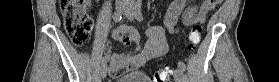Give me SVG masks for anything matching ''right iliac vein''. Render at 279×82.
<instances>
[{
  "mask_svg": "<svg viewBox=\"0 0 279 82\" xmlns=\"http://www.w3.org/2000/svg\"><path fill=\"white\" fill-rule=\"evenodd\" d=\"M124 9H125V4H123L122 2L116 4V11L117 12H121ZM106 75H107V66L102 65L101 68H100V77L105 78Z\"/></svg>",
  "mask_w": 279,
  "mask_h": 82,
  "instance_id": "1",
  "label": "right iliac vein"
}]
</instances>
